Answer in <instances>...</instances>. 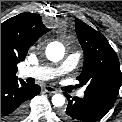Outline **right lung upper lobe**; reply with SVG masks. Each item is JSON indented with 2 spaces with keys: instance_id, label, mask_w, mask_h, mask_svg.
Returning <instances> with one entry per match:
<instances>
[{
  "instance_id": "right-lung-upper-lobe-1",
  "label": "right lung upper lobe",
  "mask_w": 122,
  "mask_h": 122,
  "mask_svg": "<svg viewBox=\"0 0 122 122\" xmlns=\"http://www.w3.org/2000/svg\"><path fill=\"white\" fill-rule=\"evenodd\" d=\"M40 15L22 13L1 24V78H17V64L29 48L48 32Z\"/></svg>"
}]
</instances>
